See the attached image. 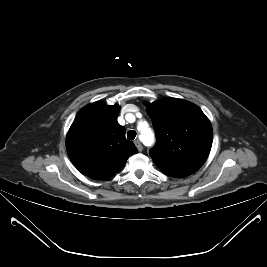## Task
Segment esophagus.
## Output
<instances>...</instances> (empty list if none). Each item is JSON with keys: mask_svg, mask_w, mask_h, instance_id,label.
Segmentation results:
<instances>
[{"mask_svg": "<svg viewBox=\"0 0 267 267\" xmlns=\"http://www.w3.org/2000/svg\"><path fill=\"white\" fill-rule=\"evenodd\" d=\"M134 143H135V146L137 147L138 151H142L143 150V146H142V144L140 143L139 140H136Z\"/></svg>", "mask_w": 267, "mask_h": 267, "instance_id": "34e87169", "label": "esophagus"}]
</instances>
